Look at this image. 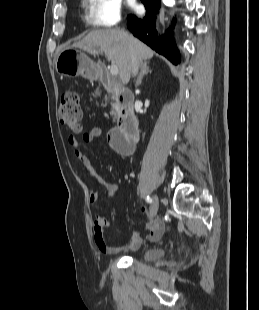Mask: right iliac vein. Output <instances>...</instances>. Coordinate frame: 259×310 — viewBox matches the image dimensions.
Wrapping results in <instances>:
<instances>
[{"instance_id":"obj_1","label":"right iliac vein","mask_w":259,"mask_h":310,"mask_svg":"<svg viewBox=\"0 0 259 310\" xmlns=\"http://www.w3.org/2000/svg\"><path fill=\"white\" fill-rule=\"evenodd\" d=\"M158 208H159V200H158L157 195H154L151 208H150V214H149L150 219H153L156 216L158 212Z\"/></svg>"}]
</instances>
